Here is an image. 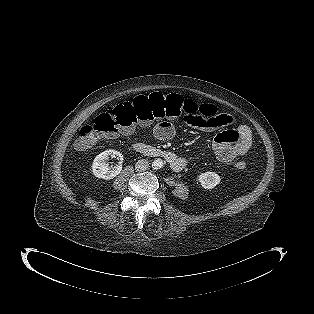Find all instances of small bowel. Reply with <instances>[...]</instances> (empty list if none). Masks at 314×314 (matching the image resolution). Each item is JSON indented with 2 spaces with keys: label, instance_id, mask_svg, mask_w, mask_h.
<instances>
[{
  "label": "small bowel",
  "instance_id": "obj_1",
  "mask_svg": "<svg viewBox=\"0 0 314 314\" xmlns=\"http://www.w3.org/2000/svg\"><path fill=\"white\" fill-rule=\"evenodd\" d=\"M181 123L185 127L193 126L201 131L221 129L212 145L216 157L221 162L231 163L236 157L247 154L251 148L250 129L246 125L237 124L235 117L229 113H218L215 110L212 116L207 117L205 109L196 108L193 112L183 113ZM153 134L159 140H169L175 135V127L170 121L164 120L154 126Z\"/></svg>",
  "mask_w": 314,
  "mask_h": 314
}]
</instances>
